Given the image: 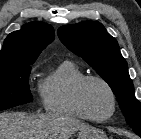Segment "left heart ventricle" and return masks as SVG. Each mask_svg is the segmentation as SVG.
I'll use <instances>...</instances> for the list:
<instances>
[{"label": "left heart ventricle", "instance_id": "obj_1", "mask_svg": "<svg viewBox=\"0 0 141 139\" xmlns=\"http://www.w3.org/2000/svg\"><path fill=\"white\" fill-rule=\"evenodd\" d=\"M88 112L96 118L108 116L112 109L111 96L104 85L97 81L86 84L83 93Z\"/></svg>", "mask_w": 141, "mask_h": 139}]
</instances>
